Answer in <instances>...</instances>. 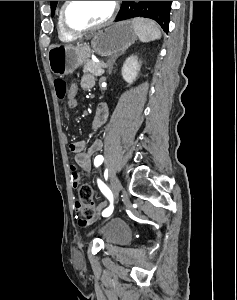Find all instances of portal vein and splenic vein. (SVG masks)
<instances>
[{
	"instance_id": "obj_1",
	"label": "portal vein and splenic vein",
	"mask_w": 237,
	"mask_h": 300,
	"mask_svg": "<svg viewBox=\"0 0 237 300\" xmlns=\"http://www.w3.org/2000/svg\"><path fill=\"white\" fill-rule=\"evenodd\" d=\"M106 64H107V63L104 62L103 65H101V68H103V69H104V68H108V65H106Z\"/></svg>"
}]
</instances>
